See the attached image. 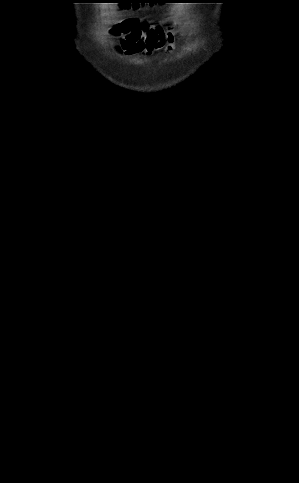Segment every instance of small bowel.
<instances>
[{
  "label": "small bowel",
  "mask_w": 299,
  "mask_h": 483,
  "mask_svg": "<svg viewBox=\"0 0 299 483\" xmlns=\"http://www.w3.org/2000/svg\"><path fill=\"white\" fill-rule=\"evenodd\" d=\"M111 34L118 37L117 48L122 52L136 55H154L164 47L167 53L173 51L176 33L160 24L139 21L128 17L113 26Z\"/></svg>",
  "instance_id": "small-bowel-1"
}]
</instances>
